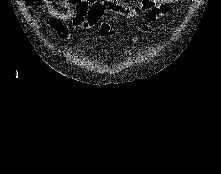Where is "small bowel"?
<instances>
[{
    "instance_id": "1",
    "label": "small bowel",
    "mask_w": 221,
    "mask_h": 174,
    "mask_svg": "<svg viewBox=\"0 0 221 174\" xmlns=\"http://www.w3.org/2000/svg\"><path fill=\"white\" fill-rule=\"evenodd\" d=\"M42 8L50 15L49 24L57 31L67 33L65 21H71L72 26L86 30L95 26L105 11L113 12L125 18H135L145 14L148 25L166 15L170 2L180 0H139L131 6L123 0H41Z\"/></svg>"
}]
</instances>
